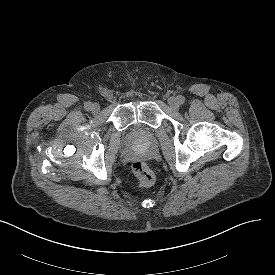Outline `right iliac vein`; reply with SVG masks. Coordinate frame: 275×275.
<instances>
[{"mask_svg":"<svg viewBox=\"0 0 275 275\" xmlns=\"http://www.w3.org/2000/svg\"><path fill=\"white\" fill-rule=\"evenodd\" d=\"M91 111L96 114L100 111V106L97 103H92L91 105Z\"/></svg>","mask_w":275,"mask_h":275,"instance_id":"63e3f726","label":"right iliac vein"}]
</instances>
